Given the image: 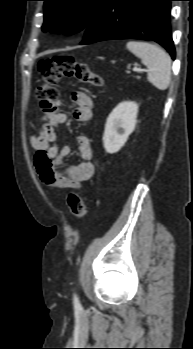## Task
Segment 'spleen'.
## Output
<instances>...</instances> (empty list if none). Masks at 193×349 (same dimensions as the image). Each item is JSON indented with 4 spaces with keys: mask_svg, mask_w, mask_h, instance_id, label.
Segmentation results:
<instances>
[{
    "mask_svg": "<svg viewBox=\"0 0 193 349\" xmlns=\"http://www.w3.org/2000/svg\"><path fill=\"white\" fill-rule=\"evenodd\" d=\"M126 46L147 66L148 81L157 89L166 90L171 81L170 56L159 46L148 42L129 41Z\"/></svg>",
    "mask_w": 193,
    "mask_h": 349,
    "instance_id": "1",
    "label": "spleen"
}]
</instances>
